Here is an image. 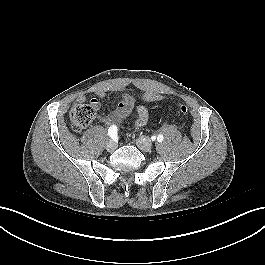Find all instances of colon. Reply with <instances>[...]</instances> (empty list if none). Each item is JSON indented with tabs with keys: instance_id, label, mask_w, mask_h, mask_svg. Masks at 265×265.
<instances>
[{
	"instance_id": "obj_1",
	"label": "colon",
	"mask_w": 265,
	"mask_h": 265,
	"mask_svg": "<svg viewBox=\"0 0 265 265\" xmlns=\"http://www.w3.org/2000/svg\"><path fill=\"white\" fill-rule=\"evenodd\" d=\"M159 95L153 91H147L143 94V100L153 102L159 100ZM96 106L90 103H80L73 106L70 111L71 125L74 131H81L86 128L95 118ZM179 111L183 114L187 112V107L183 104L179 105Z\"/></svg>"
}]
</instances>
